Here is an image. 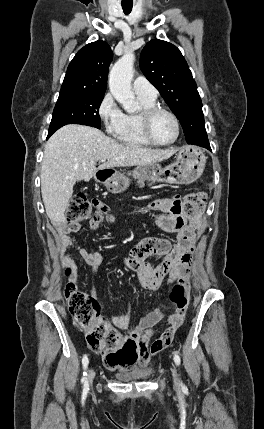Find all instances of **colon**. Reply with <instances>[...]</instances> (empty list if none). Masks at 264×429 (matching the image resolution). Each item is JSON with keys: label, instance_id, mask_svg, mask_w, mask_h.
Segmentation results:
<instances>
[{"label": "colon", "instance_id": "colon-1", "mask_svg": "<svg viewBox=\"0 0 264 429\" xmlns=\"http://www.w3.org/2000/svg\"><path fill=\"white\" fill-rule=\"evenodd\" d=\"M205 201L206 194L199 191L188 194L181 203L180 210L189 220L192 231H197L201 225ZM94 206L95 210H93ZM108 216L105 207L92 203L83 194L73 196L67 209V218L70 222L81 221L90 217L102 221ZM65 295L72 322L77 328L85 332L88 347L95 352L104 354L105 364L108 368L121 371L129 370L137 359L136 342L101 316L97 301L89 294L79 291L73 282L67 283ZM170 300L175 311L184 313L188 299L183 282L179 281L173 286L170 292Z\"/></svg>", "mask_w": 264, "mask_h": 429}]
</instances>
